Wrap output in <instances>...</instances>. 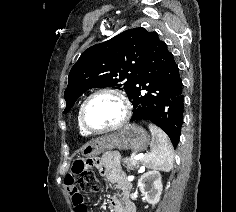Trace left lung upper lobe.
Segmentation results:
<instances>
[{
	"instance_id": "5c2ea615",
	"label": "left lung upper lobe",
	"mask_w": 236,
	"mask_h": 212,
	"mask_svg": "<svg viewBox=\"0 0 236 212\" xmlns=\"http://www.w3.org/2000/svg\"><path fill=\"white\" fill-rule=\"evenodd\" d=\"M151 34L145 28H133L86 49L69 73L64 93V113L91 88H120L129 97L135 87L139 66L147 51ZM174 137L175 135L172 139Z\"/></svg>"
}]
</instances>
